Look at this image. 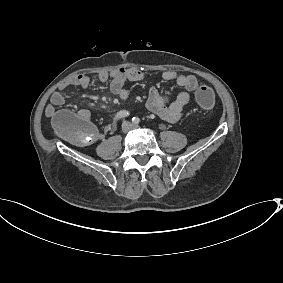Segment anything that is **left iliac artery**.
<instances>
[{"instance_id": "44dca946", "label": "left iliac artery", "mask_w": 283, "mask_h": 283, "mask_svg": "<svg viewBox=\"0 0 283 283\" xmlns=\"http://www.w3.org/2000/svg\"><path fill=\"white\" fill-rule=\"evenodd\" d=\"M132 122H133L134 124H138V123L140 122V119H139L138 117H133V118H132Z\"/></svg>"}]
</instances>
